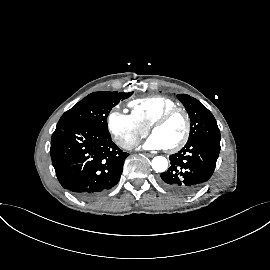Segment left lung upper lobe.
I'll list each match as a JSON object with an SVG mask.
<instances>
[{"mask_svg": "<svg viewBox=\"0 0 270 270\" xmlns=\"http://www.w3.org/2000/svg\"><path fill=\"white\" fill-rule=\"evenodd\" d=\"M187 110L190 120V136L188 142L200 137H218L220 130L212 113L197 99L186 95H177Z\"/></svg>", "mask_w": 270, "mask_h": 270, "instance_id": "obj_1", "label": "left lung upper lobe"}]
</instances>
